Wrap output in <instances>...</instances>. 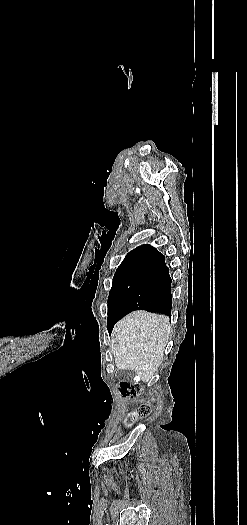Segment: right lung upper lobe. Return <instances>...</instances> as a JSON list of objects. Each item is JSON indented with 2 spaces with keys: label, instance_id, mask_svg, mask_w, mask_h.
<instances>
[{
  "label": "right lung upper lobe",
  "instance_id": "right-lung-upper-lobe-1",
  "mask_svg": "<svg viewBox=\"0 0 247 525\" xmlns=\"http://www.w3.org/2000/svg\"><path fill=\"white\" fill-rule=\"evenodd\" d=\"M161 255L155 248L150 245H142L129 252L117 271H125L138 268L147 264L152 258Z\"/></svg>",
  "mask_w": 247,
  "mask_h": 525
}]
</instances>
